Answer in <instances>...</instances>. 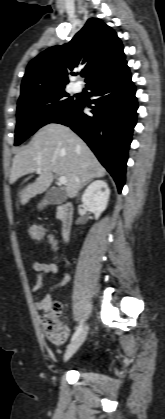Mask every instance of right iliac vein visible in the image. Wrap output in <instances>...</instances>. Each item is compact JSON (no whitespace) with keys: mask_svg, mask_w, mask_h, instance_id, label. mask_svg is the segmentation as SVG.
I'll return each mask as SVG.
<instances>
[{"mask_svg":"<svg viewBox=\"0 0 165 419\" xmlns=\"http://www.w3.org/2000/svg\"><path fill=\"white\" fill-rule=\"evenodd\" d=\"M88 329H89L88 326H85L80 332V334L77 336V338L69 345V347L67 348L64 354V361H67L68 359H70L75 354V352L80 348V346L83 344V342L85 341L87 337Z\"/></svg>","mask_w":165,"mask_h":419,"instance_id":"right-iliac-vein-1","label":"right iliac vein"}]
</instances>
